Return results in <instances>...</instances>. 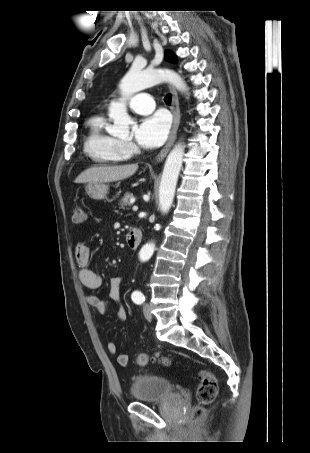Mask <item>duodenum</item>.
<instances>
[{"mask_svg": "<svg viewBox=\"0 0 310 453\" xmlns=\"http://www.w3.org/2000/svg\"><path fill=\"white\" fill-rule=\"evenodd\" d=\"M142 236L143 235H142L141 230H139L137 228L131 229L127 233V237H126L129 248L136 249L140 245Z\"/></svg>", "mask_w": 310, "mask_h": 453, "instance_id": "duodenum-1", "label": "duodenum"}]
</instances>
